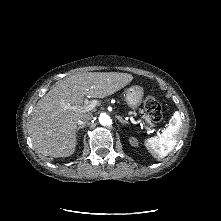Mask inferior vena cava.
<instances>
[{
  "label": "inferior vena cava",
  "mask_w": 221,
  "mask_h": 221,
  "mask_svg": "<svg viewBox=\"0 0 221 221\" xmlns=\"http://www.w3.org/2000/svg\"><path fill=\"white\" fill-rule=\"evenodd\" d=\"M93 118V114L90 112H87L83 115H81V117L78 119L77 123L79 125H85L87 122L91 121Z\"/></svg>",
  "instance_id": "inferior-vena-cava-1"
}]
</instances>
